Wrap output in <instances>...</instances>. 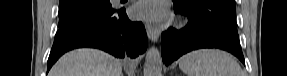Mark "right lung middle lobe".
<instances>
[{
  "label": "right lung middle lobe",
  "instance_id": "1",
  "mask_svg": "<svg viewBox=\"0 0 287 76\" xmlns=\"http://www.w3.org/2000/svg\"><path fill=\"white\" fill-rule=\"evenodd\" d=\"M112 10L109 0H60L59 28Z\"/></svg>",
  "mask_w": 287,
  "mask_h": 76
}]
</instances>
